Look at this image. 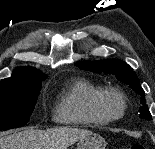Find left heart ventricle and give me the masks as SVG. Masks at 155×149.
Returning a JSON list of instances; mask_svg holds the SVG:
<instances>
[{
	"mask_svg": "<svg viewBox=\"0 0 155 149\" xmlns=\"http://www.w3.org/2000/svg\"><path fill=\"white\" fill-rule=\"evenodd\" d=\"M108 108L111 112L117 114L121 109V104L117 99H110L107 103Z\"/></svg>",
	"mask_w": 155,
	"mask_h": 149,
	"instance_id": "b2bd125f",
	"label": "left heart ventricle"
}]
</instances>
